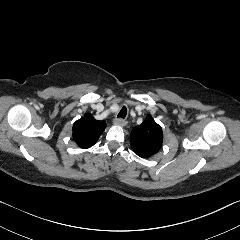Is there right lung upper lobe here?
Instances as JSON below:
<instances>
[{
  "label": "right lung upper lobe",
  "mask_w": 240,
  "mask_h": 240,
  "mask_svg": "<svg viewBox=\"0 0 240 240\" xmlns=\"http://www.w3.org/2000/svg\"><path fill=\"white\" fill-rule=\"evenodd\" d=\"M105 121H98L89 113L73 125V138L83 149L93 146L105 130Z\"/></svg>",
  "instance_id": "right-lung-upper-lobe-1"
}]
</instances>
